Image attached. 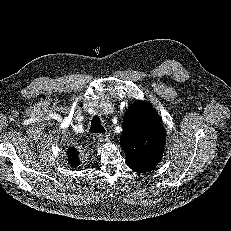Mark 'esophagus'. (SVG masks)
Listing matches in <instances>:
<instances>
[{"mask_svg":"<svg viewBox=\"0 0 231 231\" xmlns=\"http://www.w3.org/2000/svg\"><path fill=\"white\" fill-rule=\"evenodd\" d=\"M97 137H98V140L100 142H107L110 139V134L107 133V132L106 133H101Z\"/></svg>","mask_w":231,"mask_h":231,"instance_id":"1","label":"esophagus"}]
</instances>
